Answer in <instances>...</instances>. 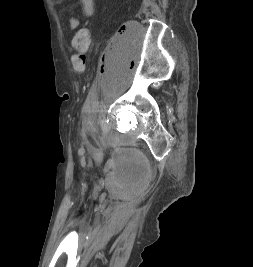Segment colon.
<instances>
[{"mask_svg":"<svg viewBox=\"0 0 253 267\" xmlns=\"http://www.w3.org/2000/svg\"><path fill=\"white\" fill-rule=\"evenodd\" d=\"M90 37L87 29H79L73 38L76 54L72 57V64L76 71L82 72L86 64V53L89 49Z\"/></svg>","mask_w":253,"mask_h":267,"instance_id":"5ec220e1","label":"colon"}]
</instances>
